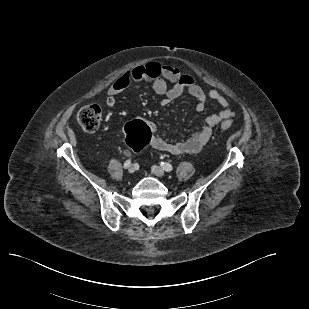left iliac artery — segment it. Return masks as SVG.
<instances>
[{"label": "left iliac artery", "instance_id": "1", "mask_svg": "<svg viewBox=\"0 0 309 309\" xmlns=\"http://www.w3.org/2000/svg\"><path fill=\"white\" fill-rule=\"evenodd\" d=\"M160 166L163 168V170L170 172L173 170V166L170 163L167 162H161Z\"/></svg>", "mask_w": 309, "mask_h": 309}]
</instances>
